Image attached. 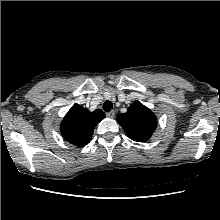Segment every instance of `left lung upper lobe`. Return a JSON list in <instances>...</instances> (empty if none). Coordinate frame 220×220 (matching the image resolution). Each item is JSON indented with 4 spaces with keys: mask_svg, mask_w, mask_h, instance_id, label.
Here are the masks:
<instances>
[{
    "mask_svg": "<svg viewBox=\"0 0 220 220\" xmlns=\"http://www.w3.org/2000/svg\"><path fill=\"white\" fill-rule=\"evenodd\" d=\"M117 121L128 137L137 142L148 140L157 126L156 116L139 101L134 102L126 113L118 115Z\"/></svg>",
    "mask_w": 220,
    "mask_h": 220,
    "instance_id": "obj_1",
    "label": "left lung upper lobe"
}]
</instances>
